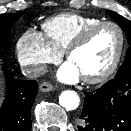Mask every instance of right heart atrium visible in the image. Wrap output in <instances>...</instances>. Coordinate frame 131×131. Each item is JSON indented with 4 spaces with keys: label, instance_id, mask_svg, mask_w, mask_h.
Wrapping results in <instances>:
<instances>
[{
    "label": "right heart atrium",
    "instance_id": "right-heart-atrium-1",
    "mask_svg": "<svg viewBox=\"0 0 131 131\" xmlns=\"http://www.w3.org/2000/svg\"><path fill=\"white\" fill-rule=\"evenodd\" d=\"M16 49L20 64L35 73L57 62L62 55L40 32L34 30H27L20 36Z\"/></svg>",
    "mask_w": 131,
    "mask_h": 131
}]
</instances>
